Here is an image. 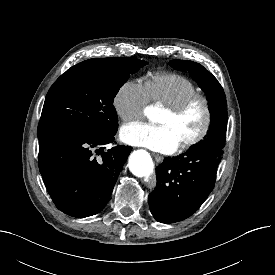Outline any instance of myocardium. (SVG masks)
<instances>
[{"label": "myocardium", "mask_w": 275, "mask_h": 275, "mask_svg": "<svg viewBox=\"0 0 275 275\" xmlns=\"http://www.w3.org/2000/svg\"><path fill=\"white\" fill-rule=\"evenodd\" d=\"M201 102L203 104L204 108V122L202 124V127L200 130L191 138L183 141L179 144V149L185 150L188 149L196 144H198L200 141H202L207 133L210 130L212 120H213V108L210 99L208 96H206L203 93L196 92L193 94H190L180 100L179 102L165 106L164 109L167 110L172 115H180L183 113L187 108H189L193 103L195 102Z\"/></svg>", "instance_id": "f54148a6"}]
</instances>
